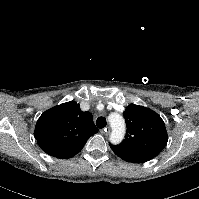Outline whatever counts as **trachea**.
Wrapping results in <instances>:
<instances>
[{"label":"trachea","instance_id":"1","mask_svg":"<svg viewBox=\"0 0 199 199\" xmlns=\"http://www.w3.org/2000/svg\"><path fill=\"white\" fill-rule=\"evenodd\" d=\"M106 119L104 117H99L96 120V125L98 128H104L106 126Z\"/></svg>","mask_w":199,"mask_h":199}]
</instances>
